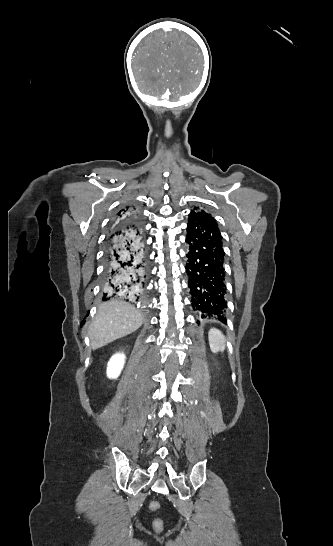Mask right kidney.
Returning <instances> with one entry per match:
<instances>
[{
	"label": "right kidney",
	"mask_w": 333,
	"mask_h": 546,
	"mask_svg": "<svg viewBox=\"0 0 333 546\" xmlns=\"http://www.w3.org/2000/svg\"><path fill=\"white\" fill-rule=\"evenodd\" d=\"M124 363V353H116L115 355H113L108 362L107 376L113 379L117 378L120 375L121 370L123 369Z\"/></svg>",
	"instance_id": "obj_1"
}]
</instances>
